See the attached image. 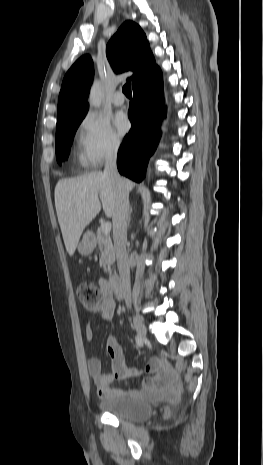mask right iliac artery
Instances as JSON below:
<instances>
[{"mask_svg": "<svg viewBox=\"0 0 263 465\" xmlns=\"http://www.w3.org/2000/svg\"><path fill=\"white\" fill-rule=\"evenodd\" d=\"M135 340H136V344H137L139 347H142V346H143V340H142L139 336H136V337H135Z\"/></svg>", "mask_w": 263, "mask_h": 465, "instance_id": "82829eb1", "label": "right iliac artery"}]
</instances>
